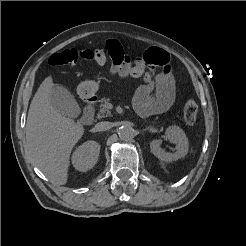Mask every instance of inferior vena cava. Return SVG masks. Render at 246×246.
Masks as SVG:
<instances>
[{
	"label": "inferior vena cava",
	"instance_id": "1",
	"mask_svg": "<svg viewBox=\"0 0 246 246\" xmlns=\"http://www.w3.org/2000/svg\"><path fill=\"white\" fill-rule=\"evenodd\" d=\"M112 127L111 122H99L95 125V130L96 131H106L109 130Z\"/></svg>",
	"mask_w": 246,
	"mask_h": 246
}]
</instances>
